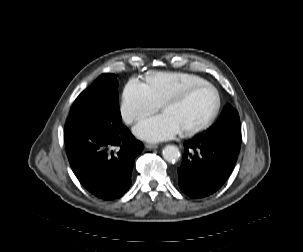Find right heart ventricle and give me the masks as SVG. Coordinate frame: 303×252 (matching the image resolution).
Here are the masks:
<instances>
[{"label": "right heart ventricle", "instance_id": "1", "mask_svg": "<svg viewBox=\"0 0 303 252\" xmlns=\"http://www.w3.org/2000/svg\"><path fill=\"white\" fill-rule=\"evenodd\" d=\"M200 83L199 77L189 74L155 73L146 79L145 85L150 98L157 105H163Z\"/></svg>", "mask_w": 303, "mask_h": 252}]
</instances>
